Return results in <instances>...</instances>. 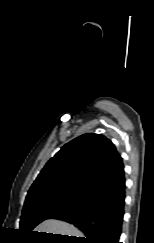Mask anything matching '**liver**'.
Returning <instances> with one entry per match:
<instances>
[{
    "instance_id": "obj_1",
    "label": "liver",
    "mask_w": 154,
    "mask_h": 243,
    "mask_svg": "<svg viewBox=\"0 0 154 243\" xmlns=\"http://www.w3.org/2000/svg\"><path fill=\"white\" fill-rule=\"evenodd\" d=\"M35 231L76 237H82L83 235L82 232L73 225L55 219L45 220L35 228Z\"/></svg>"
}]
</instances>
